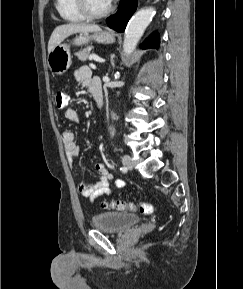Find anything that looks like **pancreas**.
<instances>
[{"label": "pancreas", "mask_w": 243, "mask_h": 289, "mask_svg": "<svg viewBox=\"0 0 243 289\" xmlns=\"http://www.w3.org/2000/svg\"><path fill=\"white\" fill-rule=\"evenodd\" d=\"M92 49H93L92 46H88V47L76 52L75 56L81 61H86L88 59Z\"/></svg>", "instance_id": "obj_1"}]
</instances>
